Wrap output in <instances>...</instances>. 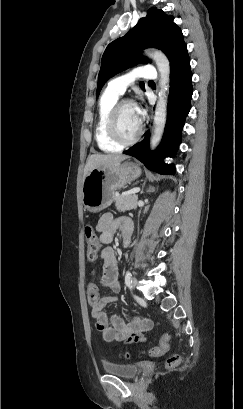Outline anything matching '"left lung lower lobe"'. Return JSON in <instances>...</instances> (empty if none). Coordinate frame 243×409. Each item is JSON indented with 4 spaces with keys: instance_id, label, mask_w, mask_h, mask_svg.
I'll list each match as a JSON object with an SVG mask.
<instances>
[{
    "instance_id": "left-lung-lower-lobe-1",
    "label": "left lung lower lobe",
    "mask_w": 243,
    "mask_h": 409,
    "mask_svg": "<svg viewBox=\"0 0 243 409\" xmlns=\"http://www.w3.org/2000/svg\"><path fill=\"white\" fill-rule=\"evenodd\" d=\"M170 92L167 105V122L162 142L158 149L149 151L150 133L145 138L124 151V154L136 157L144 165L161 174H174L173 165L163 162L165 157H173L181 143V133L186 116L190 110L192 97V73L187 46L184 44L170 61Z\"/></svg>"
}]
</instances>
